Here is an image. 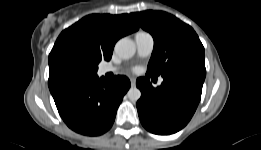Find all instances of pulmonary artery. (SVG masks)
<instances>
[{"label": "pulmonary artery", "mask_w": 261, "mask_h": 150, "mask_svg": "<svg viewBox=\"0 0 261 150\" xmlns=\"http://www.w3.org/2000/svg\"><path fill=\"white\" fill-rule=\"evenodd\" d=\"M135 45L137 49V55L139 57L145 58L148 57L154 48V39L152 35L148 32L141 31L138 32L135 36ZM118 70L117 67L107 65L100 68L99 72L100 74L104 75L109 72H116ZM163 81L162 78H160L159 82L161 83Z\"/></svg>", "instance_id": "obj_1"}]
</instances>
